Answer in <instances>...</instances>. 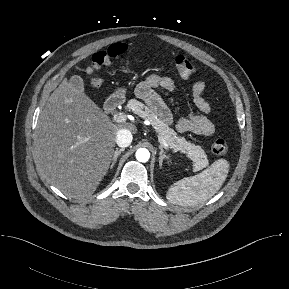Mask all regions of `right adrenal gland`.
Instances as JSON below:
<instances>
[{"label":"right adrenal gland","instance_id":"2a0ac1e0","mask_svg":"<svg viewBox=\"0 0 289 289\" xmlns=\"http://www.w3.org/2000/svg\"><path fill=\"white\" fill-rule=\"evenodd\" d=\"M123 151H124V149L121 148V149L116 150V151L114 152V156H113V159H112V164L110 165V169H112V168L114 167V165H115V163H116L119 155H120L121 152H123Z\"/></svg>","mask_w":289,"mask_h":289}]
</instances>
